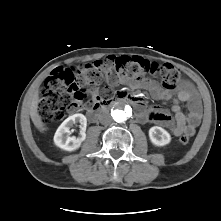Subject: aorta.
Returning a JSON list of instances; mask_svg holds the SVG:
<instances>
[{
  "instance_id": "1",
  "label": "aorta",
  "mask_w": 221,
  "mask_h": 221,
  "mask_svg": "<svg viewBox=\"0 0 221 221\" xmlns=\"http://www.w3.org/2000/svg\"><path fill=\"white\" fill-rule=\"evenodd\" d=\"M111 115L116 122L121 123L127 119L129 110L126 108H117L111 112Z\"/></svg>"
}]
</instances>
